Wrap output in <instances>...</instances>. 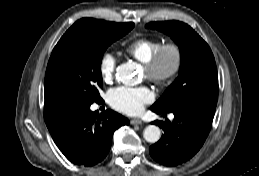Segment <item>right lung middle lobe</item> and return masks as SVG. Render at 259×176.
I'll use <instances>...</instances> for the list:
<instances>
[{
	"instance_id": "dd1d6c3e",
	"label": "right lung middle lobe",
	"mask_w": 259,
	"mask_h": 176,
	"mask_svg": "<svg viewBox=\"0 0 259 176\" xmlns=\"http://www.w3.org/2000/svg\"><path fill=\"white\" fill-rule=\"evenodd\" d=\"M133 27L131 22L83 18L66 31L54 47L46 70L63 101L92 104L101 99L102 56Z\"/></svg>"
}]
</instances>
